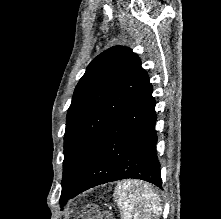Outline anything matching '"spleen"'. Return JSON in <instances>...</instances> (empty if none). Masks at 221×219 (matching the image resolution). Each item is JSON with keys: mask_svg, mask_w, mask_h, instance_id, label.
Returning <instances> with one entry per match:
<instances>
[{"mask_svg": "<svg viewBox=\"0 0 221 219\" xmlns=\"http://www.w3.org/2000/svg\"><path fill=\"white\" fill-rule=\"evenodd\" d=\"M114 196L123 219H158L162 212L158 194L147 183L137 180L119 182Z\"/></svg>", "mask_w": 221, "mask_h": 219, "instance_id": "obj_1", "label": "spleen"}]
</instances>
